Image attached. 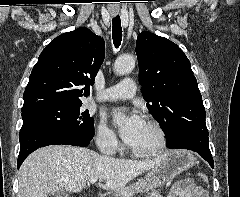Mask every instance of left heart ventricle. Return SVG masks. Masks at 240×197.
<instances>
[{"instance_id": "1", "label": "left heart ventricle", "mask_w": 240, "mask_h": 197, "mask_svg": "<svg viewBox=\"0 0 240 197\" xmlns=\"http://www.w3.org/2000/svg\"><path fill=\"white\" fill-rule=\"evenodd\" d=\"M156 143L157 136L154 129L145 123L137 138L129 146L137 149H150Z\"/></svg>"}]
</instances>
